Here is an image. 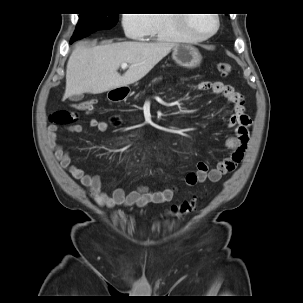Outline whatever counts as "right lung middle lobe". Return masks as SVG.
Segmentation results:
<instances>
[{"instance_id":"dd1d6c3e","label":"right lung middle lobe","mask_w":303,"mask_h":303,"mask_svg":"<svg viewBox=\"0 0 303 303\" xmlns=\"http://www.w3.org/2000/svg\"><path fill=\"white\" fill-rule=\"evenodd\" d=\"M118 17V13L80 14L77 28L71 39L78 40L95 31L110 29L116 25Z\"/></svg>"}]
</instances>
